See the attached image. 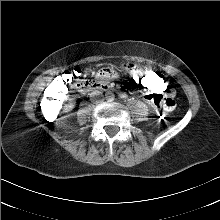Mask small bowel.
Masks as SVG:
<instances>
[{
	"instance_id": "1",
	"label": "small bowel",
	"mask_w": 220,
	"mask_h": 220,
	"mask_svg": "<svg viewBox=\"0 0 220 220\" xmlns=\"http://www.w3.org/2000/svg\"><path fill=\"white\" fill-rule=\"evenodd\" d=\"M93 69H94L95 75L98 77L90 76V77L86 78V81H85L86 85L90 86V87L94 86L95 88H98V89L107 88L108 84H109L108 80H113L117 76V71L113 67H103L102 64L98 63V64L94 65ZM144 90L146 92L145 98L147 100L149 99V95L157 93V92H150L146 88H144ZM169 93H172L174 95V90L171 87H169V89L166 92H164L163 94H169Z\"/></svg>"
}]
</instances>
